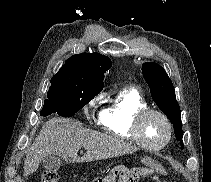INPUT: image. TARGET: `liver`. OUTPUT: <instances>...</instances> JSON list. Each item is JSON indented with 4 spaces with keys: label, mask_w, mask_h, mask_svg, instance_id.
Masks as SVG:
<instances>
[{
    "label": "liver",
    "mask_w": 211,
    "mask_h": 182,
    "mask_svg": "<svg viewBox=\"0 0 211 182\" xmlns=\"http://www.w3.org/2000/svg\"><path fill=\"white\" fill-rule=\"evenodd\" d=\"M86 149L83 157L77 153ZM137 147L122 139L85 128L74 119L52 118L44 123L25 161L23 176L34 173L46 157L57 155L67 162H91L137 151Z\"/></svg>",
    "instance_id": "obj_1"
}]
</instances>
